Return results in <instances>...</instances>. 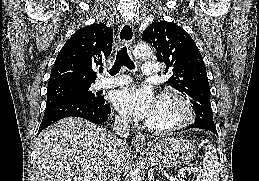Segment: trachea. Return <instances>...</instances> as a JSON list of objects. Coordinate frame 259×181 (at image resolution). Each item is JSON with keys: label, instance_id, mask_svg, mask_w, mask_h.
I'll list each match as a JSON object with an SVG mask.
<instances>
[{"label": "trachea", "instance_id": "obj_1", "mask_svg": "<svg viewBox=\"0 0 259 181\" xmlns=\"http://www.w3.org/2000/svg\"><path fill=\"white\" fill-rule=\"evenodd\" d=\"M122 66L127 67L128 69H134L135 66L132 62V60L130 59L128 52H127V48L126 46H123L120 51L117 52L116 55V60L112 66V68L109 70V73L111 76L116 75ZM103 68H100L99 71L103 72Z\"/></svg>", "mask_w": 259, "mask_h": 181}]
</instances>
